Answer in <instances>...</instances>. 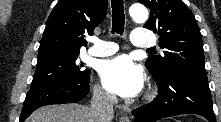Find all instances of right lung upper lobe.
I'll return each instance as SVG.
<instances>
[{"label":"right lung upper lobe","instance_id":"1","mask_svg":"<svg viewBox=\"0 0 221 122\" xmlns=\"http://www.w3.org/2000/svg\"><path fill=\"white\" fill-rule=\"evenodd\" d=\"M107 0H60L51 12L40 42L38 59L79 54L106 15Z\"/></svg>","mask_w":221,"mask_h":122}]
</instances>
